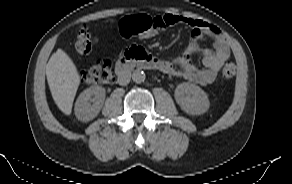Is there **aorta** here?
<instances>
[{
	"label": "aorta",
	"instance_id": "1",
	"mask_svg": "<svg viewBox=\"0 0 292 184\" xmlns=\"http://www.w3.org/2000/svg\"><path fill=\"white\" fill-rule=\"evenodd\" d=\"M132 80L135 83H142L145 80V74L141 70H135L132 74Z\"/></svg>",
	"mask_w": 292,
	"mask_h": 184
}]
</instances>
